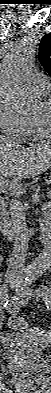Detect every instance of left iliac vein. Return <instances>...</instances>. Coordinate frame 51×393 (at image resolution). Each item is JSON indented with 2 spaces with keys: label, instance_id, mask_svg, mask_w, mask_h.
Masks as SVG:
<instances>
[{
  "label": "left iliac vein",
  "instance_id": "left-iliac-vein-1",
  "mask_svg": "<svg viewBox=\"0 0 51 393\" xmlns=\"http://www.w3.org/2000/svg\"><path fill=\"white\" fill-rule=\"evenodd\" d=\"M22 285H20L19 283H17V282H14V283H12L11 284V288H13L16 292H17V294L18 295H20V296H25V294H24V289H22Z\"/></svg>",
  "mask_w": 51,
  "mask_h": 393
}]
</instances>
